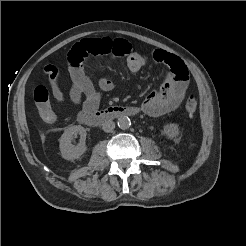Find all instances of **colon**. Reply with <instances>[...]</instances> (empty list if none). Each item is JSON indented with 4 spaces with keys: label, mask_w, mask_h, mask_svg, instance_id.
Wrapping results in <instances>:
<instances>
[{
    "label": "colon",
    "mask_w": 246,
    "mask_h": 246,
    "mask_svg": "<svg viewBox=\"0 0 246 246\" xmlns=\"http://www.w3.org/2000/svg\"><path fill=\"white\" fill-rule=\"evenodd\" d=\"M34 100L37 110L41 118L47 123H56L57 115L51 109L49 104V93L48 90L43 86H37L34 90ZM185 115L189 118L193 117L197 110V101L193 95H190L184 106Z\"/></svg>",
    "instance_id": "5ec220e1"
}]
</instances>
